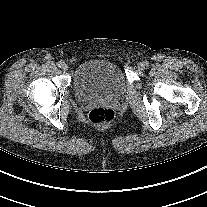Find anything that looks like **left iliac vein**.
Instances as JSON below:
<instances>
[{
  "instance_id": "1",
  "label": "left iliac vein",
  "mask_w": 207,
  "mask_h": 207,
  "mask_svg": "<svg viewBox=\"0 0 207 207\" xmlns=\"http://www.w3.org/2000/svg\"><path fill=\"white\" fill-rule=\"evenodd\" d=\"M138 68H139L140 70L145 69V68H146L145 63H144V62H139V63H138Z\"/></svg>"
}]
</instances>
